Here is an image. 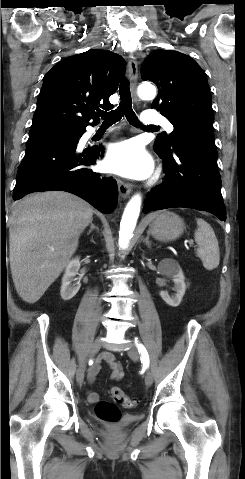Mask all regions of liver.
Segmentation results:
<instances>
[{
	"instance_id": "1",
	"label": "liver",
	"mask_w": 245,
	"mask_h": 479,
	"mask_svg": "<svg viewBox=\"0 0 245 479\" xmlns=\"http://www.w3.org/2000/svg\"><path fill=\"white\" fill-rule=\"evenodd\" d=\"M92 217L88 203L61 191L32 194L13 205L10 268L16 291L25 302H37L59 277Z\"/></svg>"
}]
</instances>
